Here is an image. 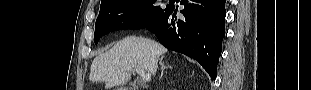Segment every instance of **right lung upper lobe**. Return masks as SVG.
<instances>
[{
	"instance_id": "cb5924a9",
	"label": "right lung upper lobe",
	"mask_w": 311,
	"mask_h": 90,
	"mask_svg": "<svg viewBox=\"0 0 311 90\" xmlns=\"http://www.w3.org/2000/svg\"><path fill=\"white\" fill-rule=\"evenodd\" d=\"M106 1H107V0H102L101 3H104V2H106Z\"/></svg>"
}]
</instances>
